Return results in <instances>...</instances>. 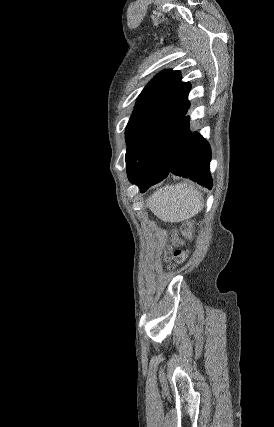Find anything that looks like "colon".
<instances>
[{"label":"colon","mask_w":274,"mask_h":427,"mask_svg":"<svg viewBox=\"0 0 274 427\" xmlns=\"http://www.w3.org/2000/svg\"><path fill=\"white\" fill-rule=\"evenodd\" d=\"M180 230L183 231V232H185V233H187V234H191L192 233V230L187 225L181 226ZM173 244H174V246L171 247V248H180L181 241L179 239H176V240L173 241Z\"/></svg>","instance_id":"colon-1"}]
</instances>
